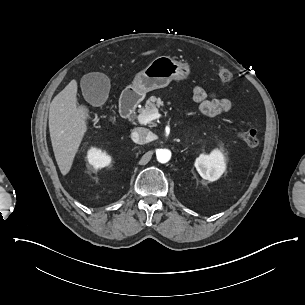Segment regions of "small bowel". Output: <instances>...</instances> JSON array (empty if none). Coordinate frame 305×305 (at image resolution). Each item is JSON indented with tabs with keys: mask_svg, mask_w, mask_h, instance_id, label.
<instances>
[{
	"mask_svg": "<svg viewBox=\"0 0 305 305\" xmlns=\"http://www.w3.org/2000/svg\"><path fill=\"white\" fill-rule=\"evenodd\" d=\"M193 100L199 105L200 111L209 117L228 112L233 107L229 99L219 98L200 86L193 89Z\"/></svg>",
	"mask_w": 305,
	"mask_h": 305,
	"instance_id": "small-bowel-1",
	"label": "small bowel"
}]
</instances>
